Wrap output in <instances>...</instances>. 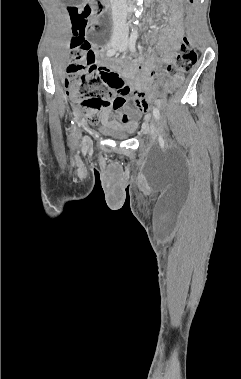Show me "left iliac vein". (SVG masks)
Wrapping results in <instances>:
<instances>
[{
	"mask_svg": "<svg viewBox=\"0 0 241 379\" xmlns=\"http://www.w3.org/2000/svg\"><path fill=\"white\" fill-rule=\"evenodd\" d=\"M127 48V41L125 40L121 46H120V51H124ZM145 132L148 133L154 140L157 139L158 137V129L156 126V122L154 120L151 121L150 124H146L144 128Z\"/></svg>",
	"mask_w": 241,
	"mask_h": 379,
	"instance_id": "4c4485c4",
	"label": "left iliac vein"
}]
</instances>
